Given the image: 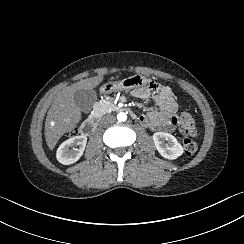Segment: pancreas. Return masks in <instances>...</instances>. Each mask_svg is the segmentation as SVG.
Segmentation results:
<instances>
[{
	"label": "pancreas",
	"mask_w": 244,
	"mask_h": 244,
	"mask_svg": "<svg viewBox=\"0 0 244 244\" xmlns=\"http://www.w3.org/2000/svg\"><path fill=\"white\" fill-rule=\"evenodd\" d=\"M97 105L103 108L106 112H108L111 109V106H113L111 101H101Z\"/></svg>",
	"instance_id": "cf45deb5"
}]
</instances>
